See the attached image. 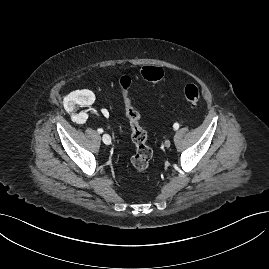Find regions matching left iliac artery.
<instances>
[{"label":"left iliac artery","instance_id":"44dca946","mask_svg":"<svg viewBox=\"0 0 269 269\" xmlns=\"http://www.w3.org/2000/svg\"><path fill=\"white\" fill-rule=\"evenodd\" d=\"M173 128H174V130H178V128H179V124H178V123H175V124L173 125Z\"/></svg>","mask_w":269,"mask_h":269}]
</instances>
